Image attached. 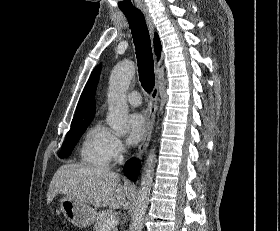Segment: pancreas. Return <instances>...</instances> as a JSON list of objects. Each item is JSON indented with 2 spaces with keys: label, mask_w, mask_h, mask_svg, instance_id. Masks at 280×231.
Here are the masks:
<instances>
[{
  "label": "pancreas",
  "mask_w": 280,
  "mask_h": 231,
  "mask_svg": "<svg viewBox=\"0 0 280 231\" xmlns=\"http://www.w3.org/2000/svg\"><path fill=\"white\" fill-rule=\"evenodd\" d=\"M111 215H115V211H99L97 217H95V229L96 231H104L103 225L107 219H110ZM113 231H117V227H113Z\"/></svg>",
  "instance_id": "obj_1"
}]
</instances>
